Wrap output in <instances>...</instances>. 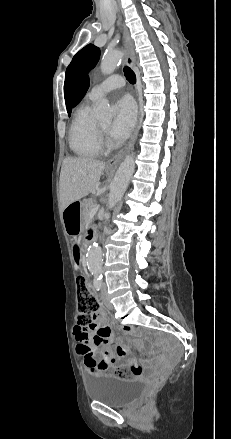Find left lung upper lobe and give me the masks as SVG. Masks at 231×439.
<instances>
[{
    "label": "left lung upper lobe",
    "instance_id": "left-lung-upper-lobe-1",
    "mask_svg": "<svg viewBox=\"0 0 231 439\" xmlns=\"http://www.w3.org/2000/svg\"><path fill=\"white\" fill-rule=\"evenodd\" d=\"M100 57V50L93 44L82 48L72 59L66 69L64 82V97L67 112L70 116L75 93L83 77L97 64Z\"/></svg>",
    "mask_w": 231,
    "mask_h": 439
}]
</instances>
